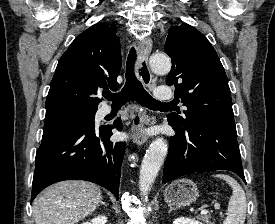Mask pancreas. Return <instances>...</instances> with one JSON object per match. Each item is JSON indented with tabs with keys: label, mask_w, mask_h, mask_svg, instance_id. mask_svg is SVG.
<instances>
[{
	"label": "pancreas",
	"mask_w": 275,
	"mask_h": 224,
	"mask_svg": "<svg viewBox=\"0 0 275 224\" xmlns=\"http://www.w3.org/2000/svg\"><path fill=\"white\" fill-rule=\"evenodd\" d=\"M199 219L204 221L206 224H214L213 222H211V216L210 215H203Z\"/></svg>",
	"instance_id": "1"
}]
</instances>
